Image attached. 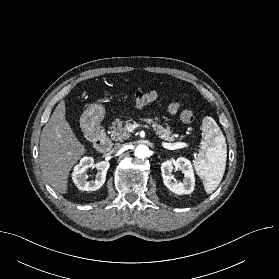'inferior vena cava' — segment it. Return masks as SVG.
I'll use <instances>...</instances> for the list:
<instances>
[{
	"mask_svg": "<svg viewBox=\"0 0 279 279\" xmlns=\"http://www.w3.org/2000/svg\"><path fill=\"white\" fill-rule=\"evenodd\" d=\"M122 147H123L122 144H116V145L113 147L112 151H113V152H118V151H120V150L122 149Z\"/></svg>",
	"mask_w": 279,
	"mask_h": 279,
	"instance_id": "602c4592",
	"label": "inferior vena cava"
}]
</instances>
